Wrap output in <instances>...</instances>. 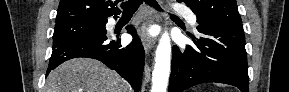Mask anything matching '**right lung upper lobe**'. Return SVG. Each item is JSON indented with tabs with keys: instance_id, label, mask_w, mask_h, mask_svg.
<instances>
[{
	"instance_id": "1",
	"label": "right lung upper lobe",
	"mask_w": 289,
	"mask_h": 92,
	"mask_svg": "<svg viewBox=\"0 0 289 92\" xmlns=\"http://www.w3.org/2000/svg\"><path fill=\"white\" fill-rule=\"evenodd\" d=\"M120 2L116 0H61L57 10L56 23L74 20L107 21V18L120 14L115 5Z\"/></svg>"
}]
</instances>
